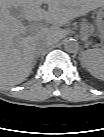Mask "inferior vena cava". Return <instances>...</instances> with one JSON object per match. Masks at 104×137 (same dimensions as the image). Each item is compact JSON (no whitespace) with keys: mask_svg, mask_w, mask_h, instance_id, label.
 <instances>
[{"mask_svg":"<svg viewBox=\"0 0 104 137\" xmlns=\"http://www.w3.org/2000/svg\"><path fill=\"white\" fill-rule=\"evenodd\" d=\"M39 46H40V45L38 44V47H39ZM44 48H45L44 45H43V46H40V47L38 48V53L42 52Z\"/></svg>","mask_w":104,"mask_h":137,"instance_id":"obj_1","label":"inferior vena cava"}]
</instances>
